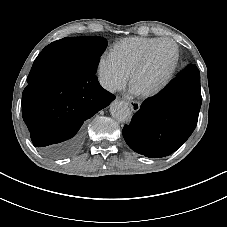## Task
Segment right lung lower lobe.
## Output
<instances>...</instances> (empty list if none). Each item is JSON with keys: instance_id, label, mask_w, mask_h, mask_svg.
I'll return each mask as SVG.
<instances>
[{"instance_id": "98d812e1", "label": "right lung lower lobe", "mask_w": 227, "mask_h": 227, "mask_svg": "<svg viewBox=\"0 0 227 227\" xmlns=\"http://www.w3.org/2000/svg\"><path fill=\"white\" fill-rule=\"evenodd\" d=\"M63 39L46 46L33 67L44 77L28 83L22 94V113L34 146L47 158H65L82 146L87 120L115 96L97 76L86 78L61 69L60 55L69 47Z\"/></svg>"}]
</instances>
